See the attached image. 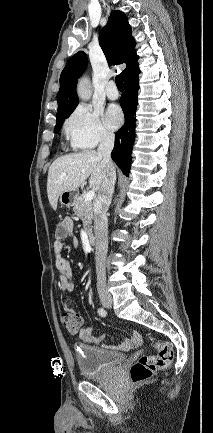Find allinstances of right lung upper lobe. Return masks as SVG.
Listing matches in <instances>:
<instances>
[{"label":"right lung upper lobe","instance_id":"1","mask_svg":"<svg viewBox=\"0 0 213 433\" xmlns=\"http://www.w3.org/2000/svg\"><path fill=\"white\" fill-rule=\"evenodd\" d=\"M131 34L127 16L118 10L111 12L106 26L99 34V43L108 63H126L127 66L122 72L123 79L138 67V56L134 49L136 42ZM87 64L86 53L79 51L70 58L61 72L60 90L57 95V120L70 113L78 105L76 85Z\"/></svg>","mask_w":213,"mask_h":433}]
</instances>
